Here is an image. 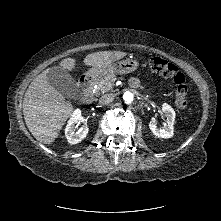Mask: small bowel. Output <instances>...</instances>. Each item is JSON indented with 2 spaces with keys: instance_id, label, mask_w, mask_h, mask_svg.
Returning <instances> with one entry per match:
<instances>
[{
  "instance_id": "c3829d8e",
  "label": "small bowel",
  "mask_w": 221,
  "mask_h": 221,
  "mask_svg": "<svg viewBox=\"0 0 221 221\" xmlns=\"http://www.w3.org/2000/svg\"><path fill=\"white\" fill-rule=\"evenodd\" d=\"M131 83H132L133 86H138V84H139L138 80H136V79H133L131 81Z\"/></svg>"
}]
</instances>
